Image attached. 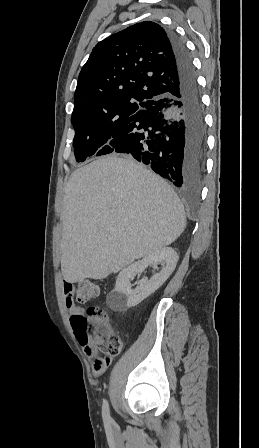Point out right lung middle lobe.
Returning a JSON list of instances; mask_svg holds the SVG:
<instances>
[{
    "mask_svg": "<svg viewBox=\"0 0 259 448\" xmlns=\"http://www.w3.org/2000/svg\"><path fill=\"white\" fill-rule=\"evenodd\" d=\"M143 110L144 106L134 105L106 112L72 115L71 122L75 129L73 147L76 161L83 162L92 155L109 154L110 141Z\"/></svg>",
    "mask_w": 259,
    "mask_h": 448,
    "instance_id": "obj_1",
    "label": "right lung middle lobe"
}]
</instances>
